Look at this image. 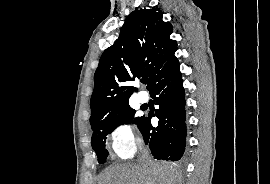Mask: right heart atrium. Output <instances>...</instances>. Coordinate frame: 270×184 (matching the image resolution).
Masks as SVG:
<instances>
[{
	"instance_id": "1",
	"label": "right heart atrium",
	"mask_w": 270,
	"mask_h": 184,
	"mask_svg": "<svg viewBox=\"0 0 270 184\" xmlns=\"http://www.w3.org/2000/svg\"><path fill=\"white\" fill-rule=\"evenodd\" d=\"M109 139L113 152L121 159L133 157L139 143L137 133L126 121H120L113 126Z\"/></svg>"
}]
</instances>
